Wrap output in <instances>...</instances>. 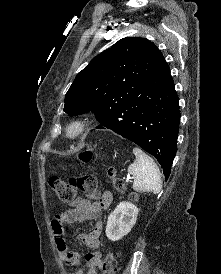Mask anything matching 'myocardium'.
I'll return each instance as SVG.
<instances>
[{
	"mask_svg": "<svg viewBox=\"0 0 221 274\" xmlns=\"http://www.w3.org/2000/svg\"><path fill=\"white\" fill-rule=\"evenodd\" d=\"M88 123L83 118H76L67 123L64 128V136L69 140L78 138L86 129Z\"/></svg>",
	"mask_w": 221,
	"mask_h": 274,
	"instance_id": "obj_1",
	"label": "myocardium"
}]
</instances>
